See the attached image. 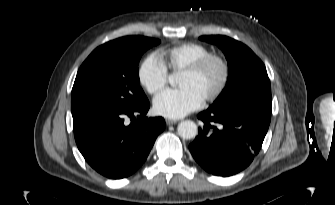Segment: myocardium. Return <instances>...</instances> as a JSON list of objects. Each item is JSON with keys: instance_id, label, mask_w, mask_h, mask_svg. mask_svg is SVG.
Segmentation results:
<instances>
[{"instance_id": "f54148a6", "label": "myocardium", "mask_w": 335, "mask_h": 205, "mask_svg": "<svg viewBox=\"0 0 335 205\" xmlns=\"http://www.w3.org/2000/svg\"><path fill=\"white\" fill-rule=\"evenodd\" d=\"M213 62H217L221 66V70H222L221 79L216 89L212 93L204 97L205 101L216 100L222 95V93L226 89V86L230 78V65L227 59L220 54L210 53L200 58L199 60L194 62L192 65L188 66L187 68L181 71V73H184V74L198 75Z\"/></svg>"}]
</instances>
